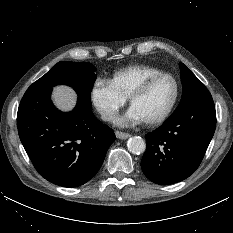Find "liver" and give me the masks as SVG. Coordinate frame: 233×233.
Masks as SVG:
<instances>
[{
    "label": "liver",
    "instance_id": "obj_1",
    "mask_svg": "<svg viewBox=\"0 0 233 233\" xmlns=\"http://www.w3.org/2000/svg\"><path fill=\"white\" fill-rule=\"evenodd\" d=\"M52 100L58 109L67 112L75 107L77 95L72 88L60 85L53 89Z\"/></svg>",
    "mask_w": 233,
    "mask_h": 233
}]
</instances>
